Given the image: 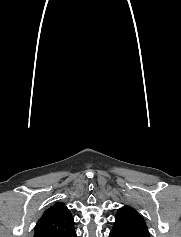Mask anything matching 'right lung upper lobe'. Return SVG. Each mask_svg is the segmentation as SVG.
I'll return each mask as SVG.
<instances>
[{
    "instance_id": "1",
    "label": "right lung upper lobe",
    "mask_w": 181,
    "mask_h": 237,
    "mask_svg": "<svg viewBox=\"0 0 181 237\" xmlns=\"http://www.w3.org/2000/svg\"><path fill=\"white\" fill-rule=\"evenodd\" d=\"M74 232L70 210L64 203L57 202L37 222L34 237H71Z\"/></svg>"
}]
</instances>
